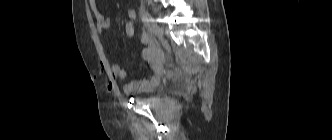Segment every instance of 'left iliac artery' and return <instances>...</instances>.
<instances>
[{
  "instance_id": "1",
  "label": "left iliac artery",
  "mask_w": 332,
  "mask_h": 140,
  "mask_svg": "<svg viewBox=\"0 0 332 140\" xmlns=\"http://www.w3.org/2000/svg\"><path fill=\"white\" fill-rule=\"evenodd\" d=\"M142 20L147 24V26L152 30V22L154 21L148 11L143 10L142 12Z\"/></svg>"
}]
</instances>
